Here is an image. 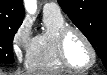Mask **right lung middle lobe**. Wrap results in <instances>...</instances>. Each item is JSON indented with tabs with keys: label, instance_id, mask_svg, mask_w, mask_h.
<instances>
[{
	"label": "right lung middle lobe",
	"instance_id": "dd1d6c3e",
	"mask_svg": "<svg viewBox=\"0 0 107 75\" xmlns=\"http://www.w3.org/2000/svg\"><path fill=\"white\" fill-rule=\"evenodd\" d=\"M21 23L0 27V63L12 64L13 58V37Z\"/></svg>",
	"mask_w": 107,
	"mask_h": 75
}]
</instances>
